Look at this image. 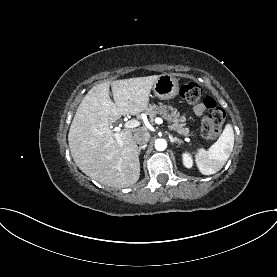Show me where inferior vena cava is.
Masks as SVG:
<instances>
[{"label": "inferior vena cava", "mask_w": 277, "mask_h": 277, "mask_svg": "<svg viewBox=\"0 0 277 277\" xmlns=\"http://www.w3.org/2000/svg\"><path fill=\"white\" fill-rule=\"evenodd\" d=\"M134 139L137 144L146 145L147 142L150 140V134L149 132L139 131L134 134Z\"/></svg>", "instance_id": "602c4592"}]
</instances>
